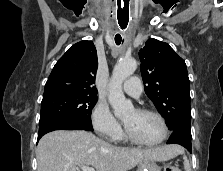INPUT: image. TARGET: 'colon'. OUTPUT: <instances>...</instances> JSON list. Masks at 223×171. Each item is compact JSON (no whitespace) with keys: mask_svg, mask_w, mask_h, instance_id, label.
<instances>
[{"mask_svg":"<svg viewBox=\"0 0 223 171\" xmlns=\"http://www.w3.org/2000/svg\"><path fill=\"white\" fill-rule=\"evenodd\" d=\"M164 171H180L176 165H168L165 167Z\"/></svg>","mask_w":223,"mask_h":171,"instance_id":"1","label":"colon"}]
</instances>
